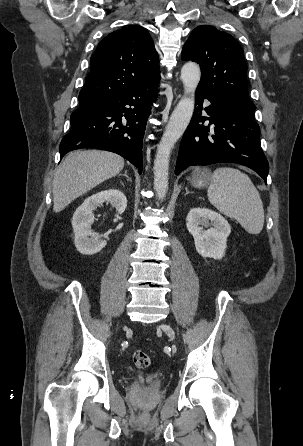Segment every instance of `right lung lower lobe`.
<instances>
[{
  "mask_svg": "<svg viewBox=\"0 0 303 446\" xmlns=\"http://www.w3.org/2000/svg\"><path fill=\"white\" fill-rule=\"evenodd\" d=\"M159 81L110 94L80 105L71 114V130L60 143L61 158L81 148L121 155L142 172V140Z\"/></svg>",
  "mask_w": 303,
  "mask_h": 446,
  "instance_id": "98d812e1",
  "label": "right lung lower lobe"
}]
</instances>
